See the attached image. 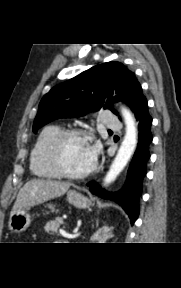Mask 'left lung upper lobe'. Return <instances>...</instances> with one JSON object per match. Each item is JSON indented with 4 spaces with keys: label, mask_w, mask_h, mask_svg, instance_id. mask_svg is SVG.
I'll list each match as a JSON object with an SVG mask.
<instances>
[{
    "label": "left lung upper lobe",
    "mask_w": 181,
    "mask_h": 288,
    "mask_svg": "<svg viewBox=\"0 0 181 288\" xmlns=\"http://www.w3.org/2000/svg\"><path fill=\"white\" fill-rule=\"evenodd\" d=\"M140 89L141 85L134 73L120 62L110 61L93 66L55 86L42 98L33 132L36 133L39 128L55 119L82 116L102 107L117 114L112 107L113 98H118L131 107Z\"/></svg>",
    "instance_id": "5c2ea615"
}]
</instances>
